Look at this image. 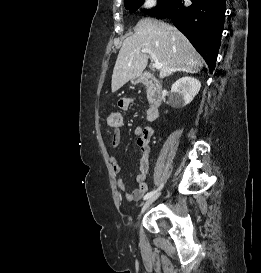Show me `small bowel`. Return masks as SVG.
Segmentation results:
<instances>
[{
    "mask_svg": "<svg viewBox=\"0 0 261 273\" xmlns=\"http://www.w3.org/2000/svg\"><path fill=\"white\" fill-rule=\"evenodd\" d=\"M131 104V99L124 98L118 101V107L121 110H127ZM157 117V111H152L151 108L147 110V119L149 121L154 120ZM121 130L122 126L115 128L112 136H111V144L113 148H117L121 143ZM137 136V144L140 148L141 156L139 159L138 165V174L136 175V181L138 182V188L132 192L127 190V186L124 180L119 177L117 179L118 188L124 192L125 198L129 202L139 201L143 195L148 191V185L146 183V179L149 172V164H150V146L149 142L151 137L153 136L154 129L151 126L140 128L137 127L134 131ZM111 165L113 172L116 175H119L122 171L121 164L115 156L111 157Z\"/></svg>",
    "mask_w": 261,
    "mask_h": 273,
    "instance_id": "1",
    "label": "small bowel"
}]
</instances>
